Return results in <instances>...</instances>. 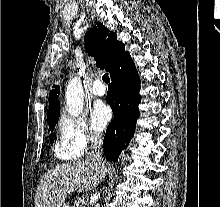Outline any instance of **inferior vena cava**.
I'll use <instances>...</instances> for the list:
<instances>
[{
	"label": "inferior vena cava",
	"mask_w": 220,
	"mask_h": 207,
	"mask_svg": "<svg viewBox=\"0 0 220 207\" xmlns=\"http://www.w3.org/2000/svg\"><path fill=\"white\" fill-rule=\"evenodd\" d=\"M90 151L87 156V161L94 164L99 169H104V163L101 156L102 139L99 134H94L90 138Z\"/></svg>",
	"instance_id": "1"
}]
</instances>
